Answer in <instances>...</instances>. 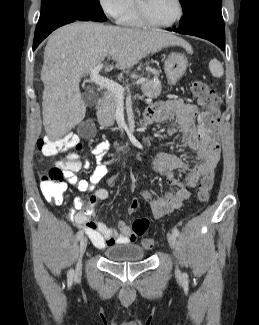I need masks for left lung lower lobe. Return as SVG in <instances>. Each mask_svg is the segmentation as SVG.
<instances>
[{"label":"left lung lower lobe","mask_w":259,"mask_h":325,"mask_svg":"<svg viewBox=\"0 0 259 325\" xmlns=\"http://www.w3.org/2000/svg\"><path fill=\"white\" fill-rule=\"evenodd\" d=\"M167 30L197 36L213 42L222 50L225 49V27L221 12H203L185 26Z\"/></svg>","instance_id":"0a47b994"}]
</instances>
